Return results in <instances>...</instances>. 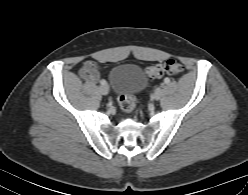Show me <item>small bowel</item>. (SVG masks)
Returning <instances> with one entry per match:
<instances>
[{"mask_svg":"<svg viewBox=\"0 0 248 195\" xmlns=\"http://www.w3.org/2000/svg\"><path fill=\"white\" fill-rule=\"evenodd\" d=\"M102 69L94 61L85 62L84 66L80 70L81 77L88 83L97 82L102 76Z\"/></svg>","mask_w":248,"mask_h":195,"instance_id":"obj_1","label":"small bowel"}]
</instances>
